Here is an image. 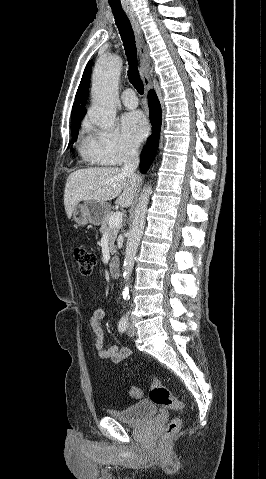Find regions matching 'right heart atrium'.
Segmentation results:
<instances>
[{"instance_id": "d8ad5b80", "label": "right heart atrium", "mask_w": 266, "mask_h": 479, "mask_svg": "<svg viewBox=\"0 0 266 479\" xmlns=\"http://www.w3.org/2000/svg\"><path fill=\"white\" fill-rule=\"evenodd\" d=\"M91 149L95 160L107 165H121L136 154L135 147L127 142L117 129H104L88 125Z\"/></svg>"}]
</instances>
